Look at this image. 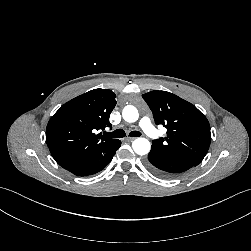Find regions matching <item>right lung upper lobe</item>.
Instances as JSON below:
<instances>
[{"instance_id":"cb5924a9","label":"right lung upper lobe","mask_w":251,"mask_h":251,"mask_svg":"<svg viewBox=\"0 0 251 251\" xmlns=\"http://www.w3.org/2000/svg\"><path fill=\"white\" fill-rule=\"evenodd\" d=\"M115 97L111 90L94 89L68 101L51 117L46 142L61 167L69 170L87 163L117 142L97 132L111 126Z\"/></svg>"}]
</instances>
